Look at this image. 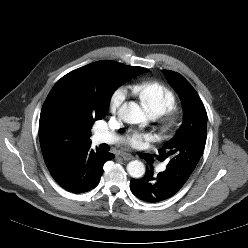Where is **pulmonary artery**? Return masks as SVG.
Returning <instances> with one entry per match:
<instances>
[{"label": "pulmonary artery", "instance_id": "obj_1", "mask_svg": "<svg viewBox=\"0 0 248 248\" xmlns=\"http://www.w3.org/2000/svg\"><path fill=\"white\" fill-rule=\"evenodd\" d=\"M116 140L117 137L115 135L106 132H97L93 136V142L96 144H100V143L110 144V143H114ZM165 168H166L165 165H161L159 167L161 171L165 170Z\"/></svg>", "mask_w": 248, "mask_h": 248}]
</instances>
